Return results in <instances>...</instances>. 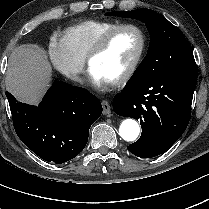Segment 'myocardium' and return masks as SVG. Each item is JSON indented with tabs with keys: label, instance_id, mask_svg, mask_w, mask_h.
<instances>
[{
	"label": "myocardium",
	"instance_id": "obj_1",
	"mask_svg": "<svg viewBox=\"0 0 209 209\" xmlns=\"http://www.w3.org/2000/svg\"><path fill=\"white\" fill-rule=\"evenodd\" d=\"M126 29L135 30L139 34L140 46H139V49H138V52H137L135 58L133 59L131 65L129 66L127 71L119 78L112 80V81H107V83L112 86H120V85L126 84L136 74L138 67L144 57L146 47H147V36H146L145 31L141 27H139L138 25L133 24V23H122V24L116 25V26L112 27L111 29L107 30L96 41V43L94 44L92 49L89 51V53L86 57L87 65L89 67H91L92 61L106 49V47L108 46L113 35L121 30H126Z\"/></svg>",
	"mask_w": 209,
	"mask_h": 209
}]
</instances>
